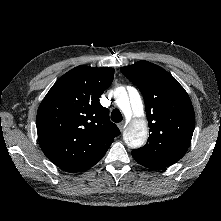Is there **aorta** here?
I'll list each match as a JSON object with an SVG mask.
<instances>
[{
    "label": "aorta",
    "mask_w": 221,
    "mask_h": 221,
    "mask_svg": "<svg viewBox=\"0 0 221 221\" xmlns=\"http://www.w3.org/2000/svg\"><path fill=\"white\" fill-rule=\"evenodd\" d=\"M116 93V103L125 115H130L132 110L136 116H143V103L135 88H132L128 93L124 87H119L116 89ZM147 135L148 128L146 121L135 119L130 123L124 133V141L129 147L137 148L146 142Z\"/></svg>",
    "instance_id": "obj_1"
}]
</instances>
